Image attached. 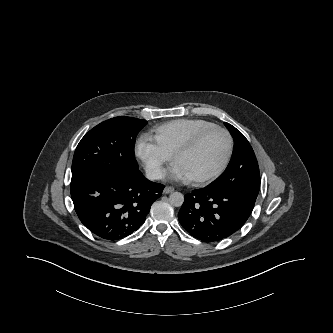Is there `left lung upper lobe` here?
I'll use <instances>...</instances> for the list:
<instances>
[{
  "instance_id": "1",
  "label": "left lung upper lobe",
  "mask_w": 333,
  "mask_h": 333,
  "mask_svg": "<svg viewBox=\"0 0 333 333\" xmlns=\"http://www.w3.org/2000/svg\"><path fill=\"white\" fill-rule=\"evenodd\" d=\"M234 139V150L226 170L211 184L231 189L256 201L260 188L259 166L254 151L245 136L225 123Z\"/></svg>"
}]
</instances>
